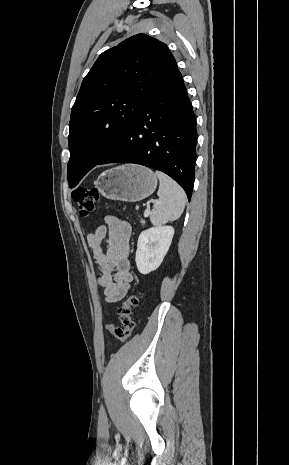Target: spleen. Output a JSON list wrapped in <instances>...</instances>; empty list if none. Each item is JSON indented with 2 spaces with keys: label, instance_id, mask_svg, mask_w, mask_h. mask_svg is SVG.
Listing matches in <instances>:
<instances>
[{
  "label": "spleen",
  "instance_id": "3e777b00",
  "mask_svg": "<svg viewBox=\"0 0 289 465\" xmlns=\"http://www.w3.org/2000/svg\"><path fill=\"white\" fill-rule=\"evenodd\" d=\"M160 185L158 189L159 201L150 212V221L160 226L167 222L177 220L183 213L186 203L184 190L169 176L156 171Z\"/></svg>",
  "mask_w": 289,
  "mask_h": 465
}]
</instances>
